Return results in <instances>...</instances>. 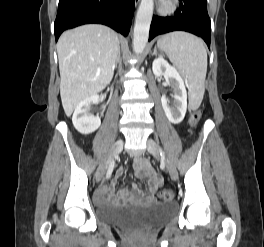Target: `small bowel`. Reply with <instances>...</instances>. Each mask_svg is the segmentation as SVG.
<instances>
[{"instance_id": "1", "label": "small bowel", "mask_w": 264, "mask_h": 247, "mask_svg": "<svg viewBox=\"0 0 264 247\" xmlns=\"http://www.w3.org/2000/svg\"><path fill=\"white\" fill-rule=\"evenodd\" d=\"M134 172L138 178H147L149 181L148 192L144 195L137 187H133V193L130 194L127 190L121 191L118 196L113 195V190L117 185L118 179L123 175V170L119 169L116 178H114L110 185L100 188L95 194V199L98 202L105 203L112 200H137L145 199L147 201L153 200L159 186L162 183V178L157 171L151 166L150 162L145 158H137L134 162Z\"/></svg>"}]
</instances>
